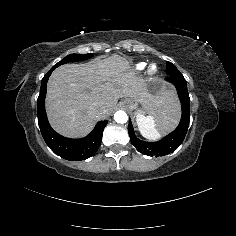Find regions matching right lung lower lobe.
I'll use <instances>...</instances> for the list:
<instances>
[{
	"instance_id": "98d812e1",
	"label": "right lung lower lobe",
	"mask_w": 236,
	"mask_h": 236,
	"mask_svg": "<svg viewBox=\"0 0 236 236\" xmlns=\"http://www.w3.org/2000/svg\"><path fill=\"white\" fill-rule=\"evenodd\" d=\"M53 70L54 68L42 79L40 94L37 99L38 124L41 134L49 148L60 157L71 161L85 160L93 156L98 150L107 121L98 122L93 131L81 139H70L56 133L51 128L45 111L47 81Z\"/></svg>"
}]
</instances>
